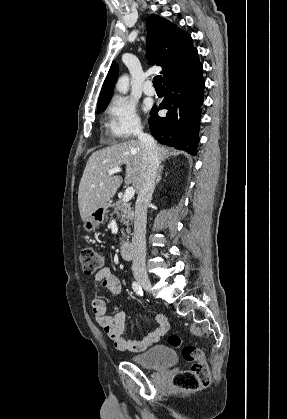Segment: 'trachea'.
Masks as SVG:
<instances>
[{"label":"trachea","instance_id":"obj_1","mask_svg":"<svg viewBox=\"0 0 287 419\" xmlns=\"http://www.w3.org/2000/svg\"><path fill=\"white\" fill-rule=\"evenodd\" d=\"M162 77L160 75L153 78V85L155 88H162Z\"/></svg>","mask_w":287,"mask_h":419}]
</instances>
